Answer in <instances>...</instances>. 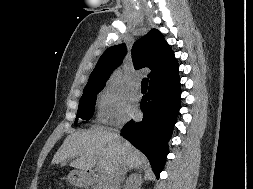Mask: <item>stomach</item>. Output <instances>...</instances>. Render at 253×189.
<instances>
[{"label": "stomach", "mask_w": 253, "mask_h": 189, "mask_svg": "<svg viewBox=\"0 0 253 189\" xmlns=\"http://www.w3.org/2000/svg\"><path fill=\"white\" fill-rule=\"evenodd\" d=\"M68 180L72 185L83 186L90 181V176L85 171L74 170L68 175Z\"/></svg>", "instance_id": "stomach-1"}]
</instances>
